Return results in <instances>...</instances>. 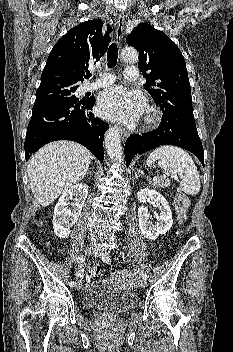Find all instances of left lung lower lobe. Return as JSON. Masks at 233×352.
Returning <instances> with one entry per match:
<instances>
[{"label":"left lung lower lobe","instance_id":"0a47b994","mask_svg":"<svg viewBox=\"0 0 233 352\" xmlns=\"http://www.w3.org/2000/svg\"><path fill=\"white\" fill-rule=\"evenodd\" d=\"M160 145H175L192 152L204 166V153L195 122L162 116L158 128L142 135L132 134L126 140L124 153L127 167L132 159Z\"/></svg>","mask_w":233,"mask_h":352}]
</instances>
